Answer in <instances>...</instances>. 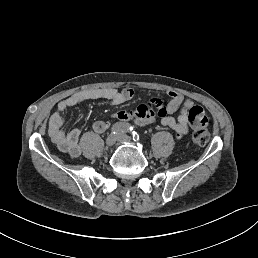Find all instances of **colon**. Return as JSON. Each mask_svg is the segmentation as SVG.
<instances>
[{"label":"colon","mask_w":258,"mask_h":258,"mask_svg":"<svg viewBox=\"0 0 258 258\" xmlns=\"http://www.w3.org/2000/svg\"><path fill=\"white\" fill-rule=\"evenodd\" d=\"M210 134L204 127L196 128L192 133L194 144L204 146L209 142Z\"/></svg>","instance_id":"obj_1"}]
</instances>
